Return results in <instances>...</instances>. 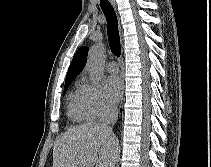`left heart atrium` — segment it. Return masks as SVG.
Wrapping results in <instances>:
<instances>
[{"mask_svg": "<svg viewBox=\"0 0 211 167\" xmlns=\"http://www.w3.org/2000/svg\"><path fill=\"white\" fill-rule=\"evenodd\" d=\"M104 90L108 99L116 103L122 96L124 85L122 80L117 76H110L104 82Z\"/></svg>", "mask_w": 211, "mask_h": 167, "instance_id": "1", "label": "left heart atrium"}]
</instances>
